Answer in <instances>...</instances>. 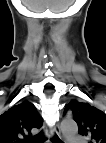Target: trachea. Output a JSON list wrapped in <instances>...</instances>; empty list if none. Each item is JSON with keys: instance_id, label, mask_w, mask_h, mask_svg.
I'll return each mask as SVG.
<instances>
[{"instance_id": "3493384b", "label": "trachea", "mask_w": 106, "mask_h": 143, "mask_svg": "<svg viewBox=\"0 0 106 143\" xmlns=\"http://www.w3.org/2000/svg\"><path fill=\"white\" fill-rule=\"evenodd\" d=\"M27 142H30V143H40L41 141L45 140V138L43 137L42 135V132L39 133L38 135L36 136H33V137H30V138H26L25 139ZM53 143H58L59 142V139L56 137L55 140H51Z\"/></svg>"}]
</instances>
